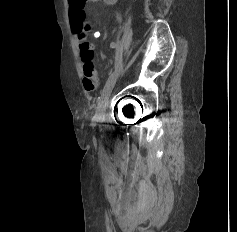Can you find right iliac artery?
Returning a JSON list of instances; mask_svg holds the SVG:
<instances>
[{
	"label": "right iliac artery",
	"mask_w": 237,
	"mask_h": 232,
	"mask_svg": "<svg viewBox=\"0 0 237 232\" xmlns=\"http://www.w3.org/2000/svg\"><path fill=\"white\" fill-rule=\"evenodd\" d=\"M118 44L116 42H111L110 47L111 48H116Z\"/></svg>",
	"instance_id": "1"
}]
</instances>
